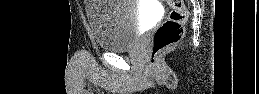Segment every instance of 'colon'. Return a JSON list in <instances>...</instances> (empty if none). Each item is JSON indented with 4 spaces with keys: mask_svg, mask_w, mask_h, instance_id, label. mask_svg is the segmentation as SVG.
<instances>
[{
    "mask_svg": "<svg viewBox=\"0 0 259 94\" xmlns=\"http://www.w3.org/2000/svg\"><path fill=\"white\" fill-rule=\"evenodd\" d=\"M170 11L167 19L157 28L152 39L150 64L155 65L158 55L176 44L184 35L188 10L183 0H167Z\"/></svg>",
    "mask_w": 259,
    "mask_h": 94,
    "instance_id": "colon-1",
    "label": "colon"
}]
</instances>
